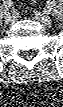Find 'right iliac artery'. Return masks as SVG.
<instances>
[{"label": "right iliac artery", "instance_id": "right-iliac-artery-1", "mask_svg": "<svg viewBox=\"0 0 63 107\" xmlns=\"http://www.w3.org/2000/svg\"><path fill=\"white\" fill-rule=\"evenodd\" d=\"M4 6H5V8H6L7 10H9V9L11 8V6H12L11 1H10V0L4 1Z\"/></svg>", "mask_w": 63, "mask_h": 107}]
</instances>
